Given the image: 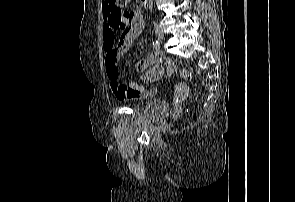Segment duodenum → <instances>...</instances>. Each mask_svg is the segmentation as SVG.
<instances>
[{"instance_id": "duodenum-1", "label": "duodenum", "mask_w": 295, "mask_h": 202, "mask_svg": "<svg viewBox=\"0 0 295 202\" xmlns=\"http://www.w3.org/2000/svg\"><path fill=\"white\" fill-rule=\"evenodd\" d=\"M140 2L143 6H146L148 4V0H140Z\"/></svg>"}]
</instances>
